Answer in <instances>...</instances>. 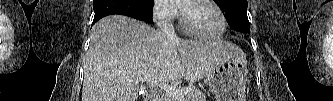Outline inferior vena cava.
Listing matches in <instances>:
<instances>
[{
	"instance_id": "obj_1",
	"label": "inferior vena cava",
	"mask_w": 333,
	"mask_h": 101,
	"mask_svg": "<svg viewBox=\"0 0 333 101\" xmlns=\"http://www.w3.org/2000/svg\"><path fill=\"white\" fill-rule=\"evenodd\" d=\"M159 29L170 39H177L174 27L169 20H164L159 23Z\"/></svg>"
}]
</instances>
